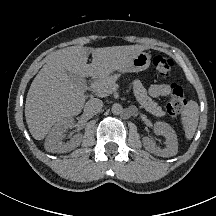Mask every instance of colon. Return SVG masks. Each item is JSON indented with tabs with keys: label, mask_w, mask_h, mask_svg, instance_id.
<instances>
[{
	"label": "colon",
	"mask_w": 216,
	"mask_h": 216,
	"mask_svg": "<svg viewBox=\"0 0 216 216\" xmlns=\"http://www.w3.org/2000/svg\"><path fill=\"white\" fill-rule=\"evenodd\" d=\"M153 66L158 75L167 77L174 68V60L170 57L157 55L153 59ZM186 103L187 101L182 86L173 83L171 86V96L166 106L168 114L172 116L179 115L185 108Z\"/></svg>",
	"instance_id": "5ec220e1"
}]
</instances>
